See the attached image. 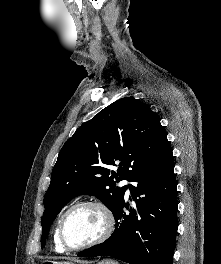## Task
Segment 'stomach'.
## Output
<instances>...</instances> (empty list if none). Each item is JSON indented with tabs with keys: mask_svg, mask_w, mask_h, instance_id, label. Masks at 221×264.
<instances>
[{
	"mask_svg": "<svg viewBox=\"0 0 221 264\" xmlns=\"http://www.w3.org/2000/svg\"><path fill=\"white\" fill-rule=\"evenodd\" d=\"M41 264H74V263L46 260V261H43ZM80 264H88V263H80ZM97 264H118V262L111 260V259H104V260L98 262Z\"/></svg>",
	"mask_w": 221,
	"mask_h": 264,
	"instance_id": "0dacf381",
	"label": "stomach"
}]
</instances>
